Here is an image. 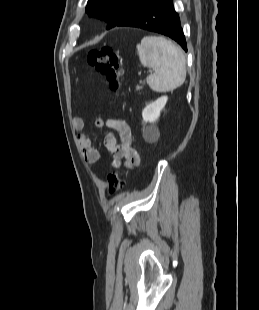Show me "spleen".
<instances>
[{
    "label": "spleen",
    "instance_id": "1",
    "mask_svg": "<svg viewBox=\"0 0 259 310\" xmlns=\"http://www.w3.org/2000/svg\"><path fill=\"white\" fill-rule=\"evenodd\" d=\"M143 66L154 69L146 80L156 92L180 87L186 79V60L180 47L164 37L146 36L136 46Z\"/></svg>",
    "mask_w": 259,
    "mask_h": 310
}]
</instances>
